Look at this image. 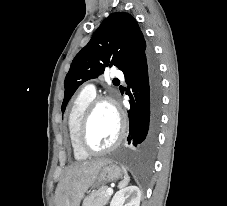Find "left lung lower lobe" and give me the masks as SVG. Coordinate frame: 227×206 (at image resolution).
<instances>
[{
    "mask_svg": "<svg viewBox=\"0 0 227 206\" xmlns=\"http://www.w3.org/2000/svg\"><path fill=\"white\" fill-rule=\"evenodd\" d=\"M124 75L130 98L128 149L147 153L157 142L161 108V81L151 50Z\"/></svg>",
    "mask_w": 227,
    "mask_h": 206,
    "instance_id": "left-lung-lower-lobe-1",
    "label": "left lung lower lobe"
}]
</instances>
